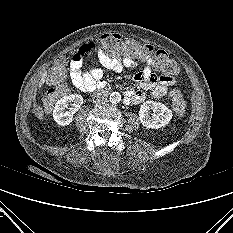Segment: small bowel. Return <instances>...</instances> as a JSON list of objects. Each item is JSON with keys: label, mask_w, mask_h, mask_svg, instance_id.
Segmentation results:
<instances>
[{"label": "small bowel", "mask_w": 233, "mask_h": 233, "mask_svg": "<svg viewBox=\"0 0 233 233\" xmlns=\"http://www.w3.org/2000/svg\"><path fill=\"white\" fill-rule=\"evenodd\" d=\"M100 64L106 69L116 73L121 72L124 68H131L138 65L141 60L145 66L134 75V80L146 90H151L154 98L164 97L169 87L175 85V80L164 74H158V69L154 64L151 56H130L125 53L108 54L104 51L97 53ZM83 58L79 53L74 54L69 65V75L73 85L82 92L92 93L97 89L106 86L103 71L99 67H92L90 70H82ZM146 98L143 91L128 90L125 93V102L128 104H140Z\"/></svg>", "instance_id": "1"}]
</instances>
